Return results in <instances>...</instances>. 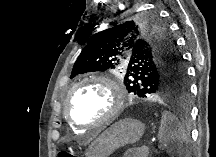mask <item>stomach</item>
I'll use <instances>...</instances> for the list:
<instances>
[{
  "label": "stomach",
  "mask_w": 216,
  "mask_h": 157,
  "mask_svg": "<svg viewBox=\"0 0 216 157\" xmlns=\"http://www.w3.org/2000/svg\"><path fill=\"white\" fill-rule=\"evenodd\" d=\"M144 125L135 119L120 120L105 129L90 145L86 157H109L117 149L138 141Z\"/></svg>",
  "instance_id": "stomach-1"
}]
</instances>
